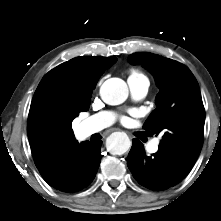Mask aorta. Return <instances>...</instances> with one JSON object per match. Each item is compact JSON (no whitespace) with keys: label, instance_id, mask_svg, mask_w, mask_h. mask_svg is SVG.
<instances>
[{"label":"aorta","instance_id":"762f6f07","mask_svg":"<svg viewBox=\"0 0 221 221\" xmlns=\"http://www.w3.org/2000/svg\"><path fill=\"white\" fill-rule=\"evenodd\" d=\"M100 96L109 105L121 104L128 97L127 84L120 78L107 79L100 88ZM130 146V139L123 132H115L107 139V148L112 154L122 155Z\"/></svg>","mask_w":221,"mask_h":221}]
</instances>
